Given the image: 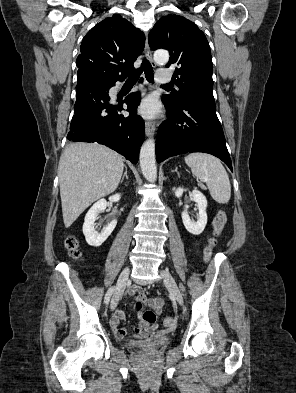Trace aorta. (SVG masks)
<instances>
[{"mask_svg": "<svg viewBox=\"0 0 296 393\" xmlns=\"http://www.w3.org/2000/svg\"><path fill=\"white\" fill-rule=\"evenodd\" d=\"M154 60L157 63H166L169 60V53L166 50H158L154 53ZM140 167L143 176L149 182H155L157 178V167L155 159V141L146 140L140 149Z\"/></svg>", "mask_w": 296, "mask_h": 393, "instance_id": "1", "label": "aorta"}]
</instances>
